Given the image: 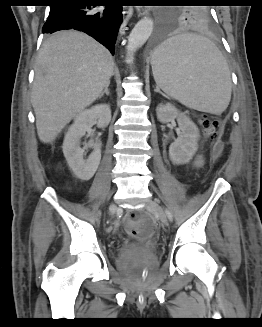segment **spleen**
I'll return each mask as SVG.
<instances>
[{
  "mask_svg": "<svg viewBox=\"0 0 262 327\" xmlns=\"http://www.w3.org/2000/svg\"><path fill=\"white\" fill-rule=\"evenodd\" d=\"M151 65L156 84L183 105L212 114L228 107L230 70L208 38L191 33L170 37L154 51Z\"/></svg>",
  "mask_w": 262,
  "mask_h": 327,
  "instance_id": "spleen-1",
  "label": "spleen"
}]
</instances>
